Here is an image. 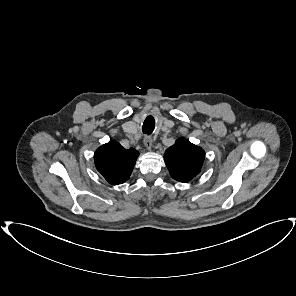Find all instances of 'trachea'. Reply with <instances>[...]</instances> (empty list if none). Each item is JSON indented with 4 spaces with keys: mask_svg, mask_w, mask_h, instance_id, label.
<instances>
[{
    "mask_svg": "<svg viewBox=\"0 0 296 296\" xmlns=\"http://www.w3.org/2000/svg\"><path fill=\"white\" fill-rule=\"evenodd\" d=\"M155 123L153 121L145 120L142 126L144 134L150 135L154 130Z\"/></svg>",
    "mask_w": 296,
    "mask_h": 296,
    "instance_id": "trachea-1",
    "label": "trachea"
}]
</instances>
